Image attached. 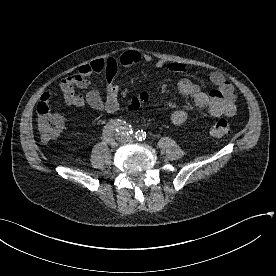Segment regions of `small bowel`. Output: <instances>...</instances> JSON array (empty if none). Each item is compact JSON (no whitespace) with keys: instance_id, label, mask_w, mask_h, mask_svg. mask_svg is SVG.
Segmentation results:
<instances>
[{"instance_id":"small-bowel-1","label":"small bowel","mask_w":276,"mask_h":276,"mask_svg":"<svg viewBox=\"0 0 276 276\" xmlns=\"http://www.w3.org/2000/svg\"><path fill=\"white\" fill-rule=\"evenodd\" d=\"M152 57L146 53L135 50H128L120 54L117 58L109 57L105 59H95L79 67L78 71L64 78L60 83L67 105L83 108H90L104 112L114 113L118 110L119 88L114 84V78L120 66L129 67L141 62L150 63ZM156 68H166L171 72L184 73L185 67L178 63H165L159 60L155 64ZM103 73L107 80L106 95L102 97L98 90L91 88L89 77L94 74ZM211 82L216 86L215 89L205 92L200 85L188 78H181L177 87L179 92L190 97L194 104L199 108H206L215 117H232L236 114V93L233 86L220 73L214 72L210 75ZM79 89L86 90L85 95L78 92ZM41 100L50 102V94L45 93ZM189 117L185 109L175 110L171 114V121L174 125L184 124Z\"/></svg>"}]
</instances>
